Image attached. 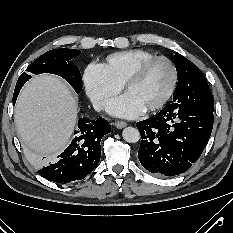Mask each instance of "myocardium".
Returning a JSON list of instances; mask_svg holds the SVG:
<instances>
[{
    "mask_svg": "<svg viewBox=\"0 0 233 233\" xmlns=\"http://www.w3.org/2000/svg\"><path fill=\"white\" fill-rule=\"evenodd\" d=\"M159 61H164L166 62L170 69H171V73H172V78H171V82L170 85L166 91V93L162 96V98L157 101L156 103H154L153 105L149 106L148 108L145 109V111L147 112H152L155 110L160 109L161 107H163L172 97L176 86H177V82H178V71L177 68L174 64V62L169 59L166 56H155L151 59H148L144 62H142L141 64H139L125 79L124 83H123V88L125 91L128 90L129 86L136 82L137 80H139L142 75L146 72V70L154 63L159 62Z\"/></svg>",
    "mask_w": 233,
    "mask_h": 233,
    "instance_id": "1",
    "label": "myocardium"
}]
</instances>
